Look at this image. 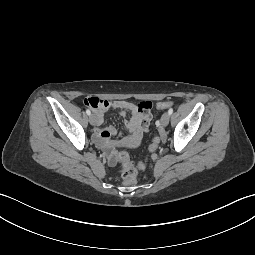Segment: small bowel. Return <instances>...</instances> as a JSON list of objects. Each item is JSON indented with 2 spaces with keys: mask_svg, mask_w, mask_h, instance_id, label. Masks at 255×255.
I'll list each match as a JSON object with an SVG mask.
<instances>
[{
  "mask_svg": "<svg viewBox=\"0 0 255 255\" xmlns=\"http://www.w3.org/2000/svg\"><path fill=\"white\" fill-rule=\"evenodd\" d=\"M86 104L93 110L96 118V129L94 132L96 142L104 149L109 165L114 166L117 163L115 145H125L128 147L136 146L142 134L148 129L151 119V103H131L127 101H109L97 97H91L86 100ZM109 108H116L125 116V124L130 135L116 144L110 141L112 135L116 133L114 127L108 126L100 128L104 121V115Z\"/></svg>",
  "mask_w": 255,
  "mask_h": 255,
  "instance_id": "small-bowel-1",
  "label": "small bowel"
}]
</instances>
